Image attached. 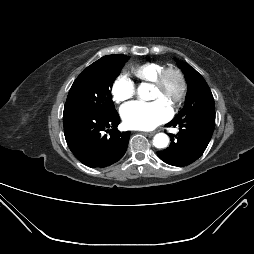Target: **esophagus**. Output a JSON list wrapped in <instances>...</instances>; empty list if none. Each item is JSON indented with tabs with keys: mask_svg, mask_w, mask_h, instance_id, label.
<instances>
[{
	"mask_svg": "<svg viewBox=\"0 0 254 254\" xmlns=\"http://www.w3.org/2000/svg\"><path fill=\"white\" fill-rule=\"evenodd\" d=\"M155 133H156V132L153 131V132H146V133H144V134H145V135H148V136H153Z\"/></svg>",
	"mask_w": 254,
	"mask_h": 254,
	"instance_id": "34e87169",
	"label": "esophagus"
}]
</instances>
